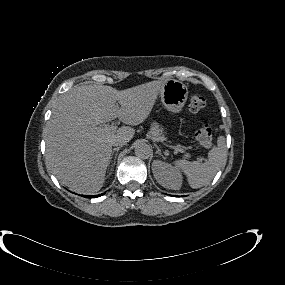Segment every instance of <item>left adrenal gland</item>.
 <instances>
[{"mask_svg": "<svg viewBox=\"0 0 285 285\" xmlns=\"http://www.w3.org/2000/svg\"><path fill=\"white\" fill-rule=\"evenodd\" d=\"M156 148H157L156 153L159 154V155H162V152H161L160 148L158 146H156Z\"/></svg>", "mask_w": 285, "mask_h": 285, "instance_id": "1", "label": "left adrenal gland"}]
</instances>
